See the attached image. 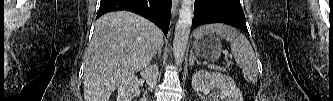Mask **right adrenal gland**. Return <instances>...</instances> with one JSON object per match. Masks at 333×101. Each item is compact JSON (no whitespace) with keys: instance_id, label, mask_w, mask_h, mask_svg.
<instances>
[{"instance_id":"2a0ac1e0","label":"right adrenal gland","mask_w":333,"mask_h":101,"mask_svg":"<svg viewBox=\"0 0 333 101\" xmlns=\"http://www.w3.org/2000/svg\"><path fill=\"white\" fill-rule=\"evenodd\" d=\"M156 54L157 53L154 54V58L156 57ZM158 55H159V57H161V48L158 49Z\"/></svg>"}]
</instances>
